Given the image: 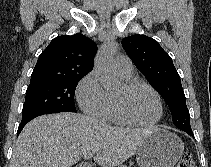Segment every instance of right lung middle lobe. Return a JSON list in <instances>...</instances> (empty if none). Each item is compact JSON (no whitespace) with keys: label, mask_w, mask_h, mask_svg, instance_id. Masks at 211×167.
Wrapping results in <instances>:
<instances>
[{"label":"right lung middle lobe","mask_w":211,"mask_h":167,"mask_svg":"<svg viewBox=\"0 0 211 167\" xmlns=\"http://www.w3.org/2000/svg\"><path fill=\"white\" fill-rule=\"evenodd\" d=\"M82 78L30 82L22 109V120L51 112H76L75 89Z\"/></svg>","instance_id":"dd1d6c3e"}]
</instances>
